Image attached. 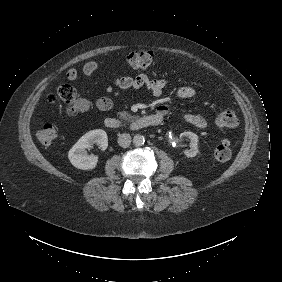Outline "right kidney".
Returning <instances> with one entry per match:
<instances>
[{"mask_svg":"<svg viewBox=\"0 0 282 282\" xmlns=\"http://www.w3.org/2000/svg\"><path fill=\"white\" fill-rule=\"evenodd\" d=\"M99 143L105 150L108 146V137L104 130L96 129L84 134L68 151L70 164L79 170H93L98 165V159L95 156H89L85 151L92 144Z\"/></svg>","mask_w":282,"mask_h":282,"instance_id":"ca27d5eb","label":"right kidney"}]
</instances>
